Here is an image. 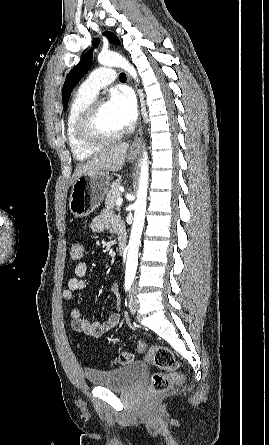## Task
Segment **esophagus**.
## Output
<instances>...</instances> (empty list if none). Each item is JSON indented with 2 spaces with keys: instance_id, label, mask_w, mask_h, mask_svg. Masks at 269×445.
Listing matches in <instances>:
<instances>
[{
  "instance_id": "obj_1",
  "label": "esophagus",
  "mask_w": 269,
  "mask_h": 445,
  "mask_svg": "<svg viewBox=\"0 0 269 445\" xmlns=\"http://www.w3.org/2000/svg\"><path fill=\"white\" fill-rule=\"evenodd\" d=\"M140 103H141V111H142L143 110L142 100H140ZM141 141H142V127L140 125L138 130H137V132H136V135L134 137V140H133V143H132V146H131L132 150H135V149L139 148L140 145H141Z\"/></svg>"
}]
</instances>
